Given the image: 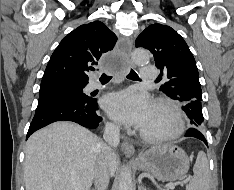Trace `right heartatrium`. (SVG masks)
Returning a JSON list of instances; mask_svg holds the SVG:
<instances>
[{"label":"right heart atrium","instance_id":"right-heart-atrium-1","mask_svg":"<svg viewBox=\"0 0 234 190\" xmlns=\"http://www.w3.org/2000/svg\"><path fill=\"white\" fill-rule=\"evenodd\" d=\"M111 127H112V128H115V126H113V125H112Z\"/></svg>","mask_w":234,"mask_h":190}]
</instances>
